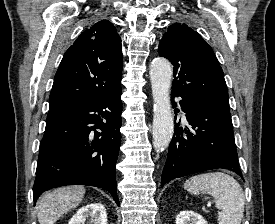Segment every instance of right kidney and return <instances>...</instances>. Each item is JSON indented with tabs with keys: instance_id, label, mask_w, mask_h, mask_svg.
I'll return each instance as SVG.
<instances>
[{
	"instance_id": "ca27d5eb",
	"label": "right kidney",
	"mask_w": 275,
	"mask_h": 224,
	"mask_svg": "<svg viewBox=\"0 0 275 224\" xmlns=\"http://www.w3.org/2000/svg\"><path fill=\"white\" fill-rule=\"evenodd\" d=\"M107 224V214L104 205L91 203L80 208L68 224Z\"/></svg>"
}]
</instances>
